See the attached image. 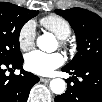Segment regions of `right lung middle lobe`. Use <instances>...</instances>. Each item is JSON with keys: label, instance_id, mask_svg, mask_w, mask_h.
Listing matches in <instances>:
<instances>
[{"label": "right lung middle lobe", "instance_id": "obj_1", "mask_svg": "<svg viewBox=\"0 0 102 102\" xmlns=\"http://www.w3.org/2000/svg\"><path fill=\"white\" fill-rule=\"evenodd\" d=\"M38 14L11 3H0V61L10 62L22 56L19 34L23 25Z\"/></svg>", "mask_w": 102, "mask_h": 102}]
</instances>
